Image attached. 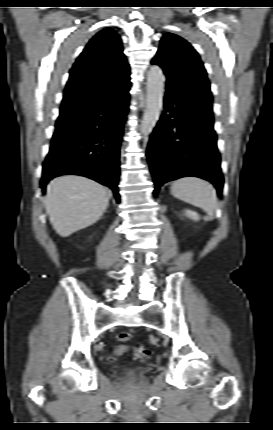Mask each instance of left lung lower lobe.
Wrapping results in <instances>:
<instances>
[{
	"instance_id": "1",
	"label": "left lung lower lobe",
	"mask_w": 273,
	"mask_h": 430,
	"mask_svg": "<svg viewBox=\"0 0 273 430\" xmlns=\"http://www.w3.org/2000/svg\"><path fill=\"white\" fill-rule=\"evenodd\" d=\"M164 102V112L147 149L154 196L164 183L185 176L210 181L220 196L223 176L213 119L181 102L169 86H166Z\"/></svg>"
}]
</instances>
